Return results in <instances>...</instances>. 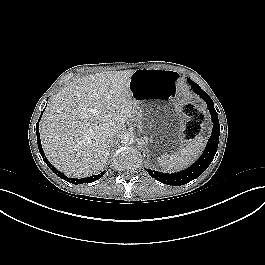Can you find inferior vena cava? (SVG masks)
I'll return each mask as SVG.
<instances>
[{"instance_id": "1", "label": "inferior vena cava", "mask_w": 265, "mask_h": 265, "mask_svg": "<svg viewBox=\"0 0 265 265\" xmlns=\"http://www.w3.org/2000/svg\"><path fill=\"white\" fill-rule=\"evenodd\" d=\"M101 133L105 137L110 138V137H113L114 135H116L117 130L111 123H105V124H103V126L101 128Z\"/></svg>"}]
</instances>
